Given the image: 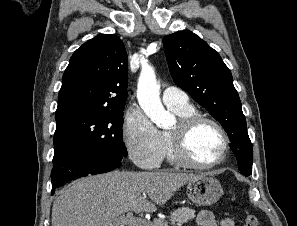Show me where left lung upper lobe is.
Listing matches in <instances>:
<instances>
[{"instance_id":"obj_1","label":"left lung upper lobe","mask_w":297,"mask_h":226,"mask_svg":"<svg viewBox=\"0 0 297 226\" xmlns=\"http://www.w3.org/2000/svg\"><path fill=\"white\" fill-rule=\"evenodd\" d=\"M174 82L210 111L227 132L242 174H252L253 149L229 68L220 55L191 31L163 38Z\"/></svg>"}]
</instances>
